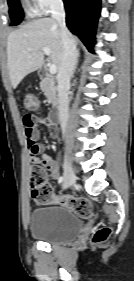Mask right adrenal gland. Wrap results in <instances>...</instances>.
Listing matches in <instances>:
<instances>
[{
    "instance_id": "right-adrenal-gland-1",
    "label": "right adrenal gland",
    "mask_w": 134,
    "mask_h": 281,
    "mask_svg": "<svg viewBox=\"0 0 134 281\" xmlns=\"http://www.w3.org/2000/svg\"><path fill=\"white\" fill-rule=\"evenodd\" d=\"M79 57H80V52H79V50H77L76 64H75L74 71L77 69V65H78V59H79Z\"/></svg>"
}]
</instances>
